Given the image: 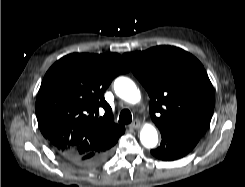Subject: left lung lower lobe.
<instances>
[{"instance_id": "obj_1", "label": "left lung lower lobe", "mask_w": 245, "mask_h": 187, "mask_svg": "<svg viewBox=\"0 0 245 187\" xmlns=\"http://www.w3.org/2000/svg\"><path fill=\"white\" fill-rule=\"evenodd\" d=\"M202 134L195 132L168 133L161 132L162 141L152 155L160 160H177L187 155L198 143Z\"/></svg>"}]
</instances>
